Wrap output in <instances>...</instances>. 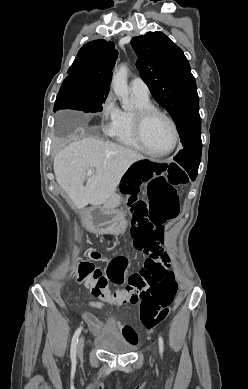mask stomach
<instances>
[{
	"label": "stomach",
	"mask_w": 248,
	"mask_h": 389,
	"mask_svg": "<svg viewBox=\"0 0 248 389\" xmlns=\"http://www.w3.org/2000/svg\"><path fill=\"white\" fill-rule=\"evenodd\" d=\"M88 219L95 226L98 235H123L126 233L123 207H93L90 209Z\"/></svg>",
	"instance_id": "stomach-1"
}]
</instances>
